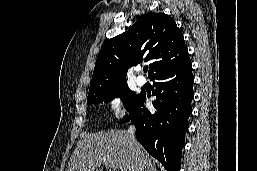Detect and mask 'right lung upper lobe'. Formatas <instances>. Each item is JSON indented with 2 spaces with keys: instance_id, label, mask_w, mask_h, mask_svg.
<instances>
[{
  "instance_id": "cb5924a9",
  "label": "right lung upper lobe",
  "mask_w": 257,
  "mask_h": 171,
  "mask_svg": "<svg viewBox=\"0 0 257 171\" xmlns=\"http://www.w3.org/2000/svg\"><path fill=\"white\" fill-rule=\"evenodd\" d=\"M188 58L184 37L174 19L164 13H146L127 32L111 38L102 46L89 92L127 83L128 68L142 61H151V78L179 66Z\"/></svg>"
}]
</instances>
